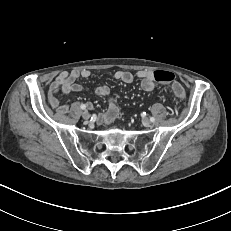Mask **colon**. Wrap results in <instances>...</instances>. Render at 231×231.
Instances as JSON below:
<instances>
[{
  "mask_svg": "<svg viewBox=\"0 0 231 231\" xmlns=\"http://www.w3.org/2000/svg\"><path fill=\"white\" fill-rule=\"evenodd\" d=\"M153 78L154 81L158 83H172L174 81V74L170 71L166 70H157L153 72ZM172 92L177 97H183L184 96V89L183 87L177 83H172Z\"/></svg>",
  "mask_w": 231,
  "mask_h": 231,
  "instance_id": "5ec220e1",
  "label": "colon"
}]
</instances>
